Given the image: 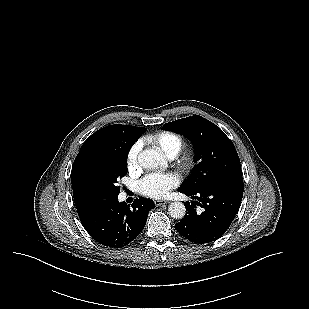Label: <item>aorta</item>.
Returning a JSON list of instances; mask_svg holds the SVG:
<instances>
[{
  "label": "aorta",
  "mask_w": 309,
  "mask_h": 309,
  "mask_svg": "<svg viewBox=\"0 0 309 309\" xmlns=\"http://www.w3.org/2000/svg\"><path fill=\"white\" fill-rule=\"evenodd\" d=\"M138 163L146 169H154L164 163L161 152L153 149H146L139 153ZM168 213L174 219H182L186 214V207L182 202H173L168 206Z\"/></svg>",
  "instance_id": "aorta-1"
}]
</instances>
